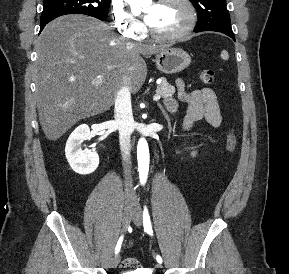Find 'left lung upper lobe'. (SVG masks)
I'll use <instances>...</instances> for the list:
<instances>
[{
  "label": "left lung upper lobe",
  "mask_w": 289,
  "mask_h": 274,
  "mask_svg": "<svg viewBox=\"0 0 289 274\" xmlns=\"http://www.w3.org/2000/svg\"><path fill=\"white\" fill-rule=\"evenodd\" d=\"M196 8L198 22L195 32L231 31L230 15L226 0H190Z\"/></svg>",
  "instance_id": "5c2ea615"
}]
</instances>
